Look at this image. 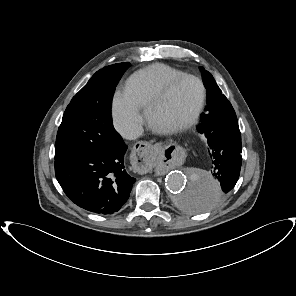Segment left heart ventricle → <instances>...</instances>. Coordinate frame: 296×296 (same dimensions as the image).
<instances>
[{
    "label": "left heart ventricle",
    "instance_id": "left-heart-ventricle-1",
    "mask_svg": "<svg viewBox=\"0 0 296 296\" xmlns=\"http://www.w3.org/2000/svg\"><path fill=\"white\" fill-rule=\"evenodd\" d=\"M200 90L191 79L180 81L162 106L156 111V119L161 124H172L184 119L195 107Z\"/></svg>",
    "mask_w": 296,
    "mask_h": 296
}]
</instances>
